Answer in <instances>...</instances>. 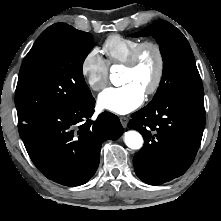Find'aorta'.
Instances as JSON below:
<instances>
[{
    "instance_id": "obj_1",
    "label": "aorta",
    "mask_w": 221,
    "mask_h": 221,
    "mask_svg": "<svg viewBox=\"0 0 221 221\" xmlns=\"http://www.w3.org/2000/svg\"><path fill=\"white\" fill-rule=\"evenodd\" d=\"M117 69H118L117 66H112L111 68L112 73L110 75V80L114 85H117L119 82L118 74L115 73ZM124 142L130 149L137 150L142 147L143 138L139 132L130 130L125 132Z\"/></svg>"
}]
</instances>
